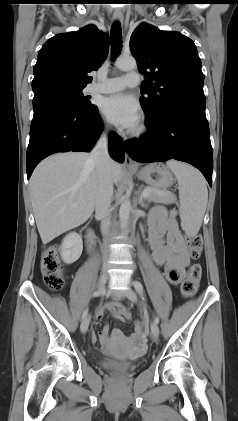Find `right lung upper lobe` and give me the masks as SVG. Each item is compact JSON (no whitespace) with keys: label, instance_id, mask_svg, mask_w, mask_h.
I'll return each mask as SVG.
<instances>
[{"label":"right lung upper lobe","instance_id":"right-lung-upper-lobe-1","mask_svg":"<svg viewBox=\"0 0 238 421\" xmlns=\"http://www.w3.org/2000/svg\"><path fill=\"white\" fill-rule=\"evenodd\" d=\"M108 50V35L93 24L57 34L39 50L32 86L58 82L86 87L92 81L88 73L101 66Z\"/></svg>","mask_w":238,"mask_h":421}]
</instances>
